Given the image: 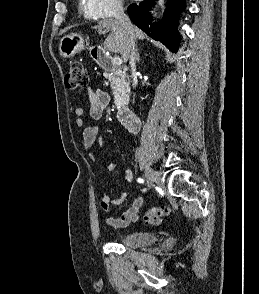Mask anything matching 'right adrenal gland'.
<instances>
[{"label": "right adrenal gland", "mask_w": 259, "mask_h": 294, "mask_svg": "<svg viewBox=\"0 0 259 294\" xmlns=\"http://www.w3.org/2000/svg\"><path fill=\"white\" fill-rule=\"evenodd\" d=\"M136 60H137V62L140 61V55H139L138 51H137V54H136Z\"/></svg>", "instance_id": "right-adrenal-gland-1"}]
</instances>
